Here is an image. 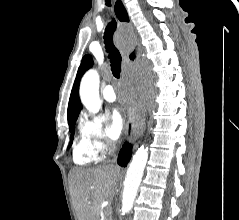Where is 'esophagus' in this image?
I'll use <instances>...</instances> for the list:
<instances>
[{"mask_svg": "<svg viewBox=\"0 0 239 220\" xmlns=\"http://www.w3.org/2000/svg\"><path fill=\"white\" fill-rule=\"evenodd\" d=\"M115 14L117 18L119 19V21L129 22V17L124 5L122 4V0H115ZM130 27L132 28L133 26L131 25ZM133 32L135 33L136 31L134 30ZM134 46L137 48L132 49L127 54V59L130 62L131 66H134L135 61L139 59L141 56L140 44L138 42H135ZM133 106H134L133 117L129 118V121L126 125V138L129 143L137 139L143 133L145 129L144 119H140V118H143L144 116L143 114L145 113V110L140 109V107L142 106V100L139 99L138 93L134 94Z\"/></svg>", "mask_w": 239, "mask_h": 220, "instance_id": "1", "label": "esophagus"}]
</instances>
